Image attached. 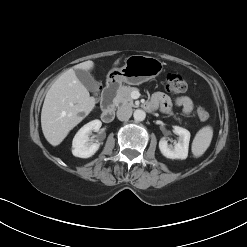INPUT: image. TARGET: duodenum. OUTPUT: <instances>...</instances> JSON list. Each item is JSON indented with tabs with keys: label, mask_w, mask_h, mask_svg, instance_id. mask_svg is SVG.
<instances>
[{
	"label": "duodenum",
	"mask_w": 247,
	"mask_h": 247,
	"mask_svg": "<svg viewBox=\"0 0 247 247\" xmlns=\"http://www.w3.org/2000/svg\"><path fill=\"white\" fill-rule=\"evenodd\" d=\"M118 88L116 81H109L102 93L101 98V118L105 123H109L114 118V98Z\"/></svg>",
	"instance_id": "duodenum-1"
}]
</instances>
